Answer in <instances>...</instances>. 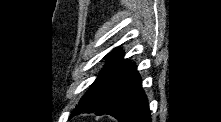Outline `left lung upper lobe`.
Instances as JSON below:
<instances>
[{
	"label": "left lung upper lobe",
	"instance_id": "5c2ea615",
	"mask_svg": "<svg viewBox=\"0 0 221 122\" xmlns=\"http://www.w3.org/2000/svg\"><path fill=\"white\" fill-rule=\"evenodd\" d=\"M122 56V51L119 48H115L111 53L108 54L105 67L99 73L97 79L91 85L88 92L82 97L76 109L83 105L98 90L109 74L115 69Z\"/></svg>",
	"mask_w": 221,
	"mask_h": 122
}]
</instances>
